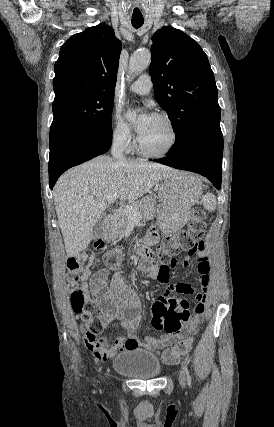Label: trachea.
Listing matches in <instances>:
<instances>
[{"instance_id":"obj_1","label":"trachea","mask_w":274,"mask_h":427,"mask_svg":"<svg viewBox=\"0 0 274 427\" xmlns=\"http://www.w3.org/2000/svg\"><path fill=\"white\" fill-rule=\"evenodd\" d=\"M131 23H132L133 27L139 28L143 25L144 19L143 18H135V19L131 20Z\"/></svg>"}]
</instances>
